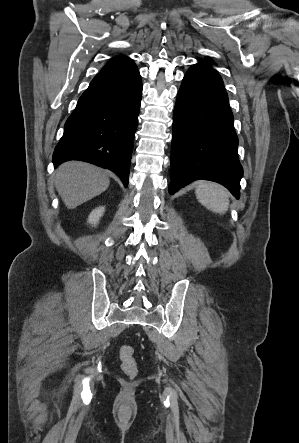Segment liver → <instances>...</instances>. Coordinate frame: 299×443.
<instances>
[{
  "label": "liver",
  "mask_w": 299,
  "mask_h": 443,
  "mask_svg": "<svg viewBox=\"0 0 299 443\" xmlns=\"http://www.w3.org/2000/svg\"><path fill=\"white\" fill-rule=\"evenodd\" d=\"M110 184L107 174L99 167L81 161H68L56 170L55 187L68 209L91 200Z\"/></svg>",
  "instance_id": "1"
}]
</instances>
